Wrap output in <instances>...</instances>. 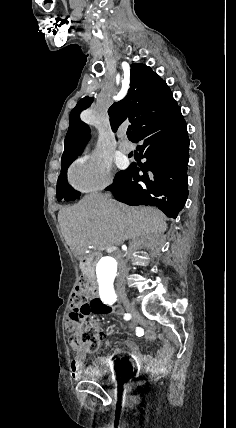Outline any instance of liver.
I'll return each mask as SVG.
<instances>
[{
    "mask_svg": "<svg viewBox=\"0 0 236 428\" xmlns=\"http://www.w3.org/2000/svg\"><path fill=\"white\" fill-rule=\"evenodd\" d=\"M61 232L77 258L86 256L89 246L107 250L135 240L137 236H156L167 228L164 214L155 208H129L102 194H88L72 208L58 214Z\"/></svg>",
    "mask_w": 236,
    "mask_h": 428,
    "instance_id": "liver-1",
    "label": "liver"
}]
</instances>
